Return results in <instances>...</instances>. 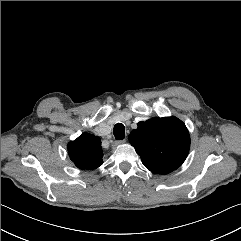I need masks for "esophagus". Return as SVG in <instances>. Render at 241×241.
I'll use <instances>...</instances> for the list:
<instances>
[{"instance_id": "obj_1", "label": "esophagus", "mask_w": 241, "mask_h": 241, "mask_svg": "<svg viewBox=\"0 0 241 241\" xmlns=\"http://www.w3.org/2000/svg\"><path fill=\"white\" fill-rule=\"evenodd\" d=\"M126 140L125 139H122V140H117L113 143V146H117L118 144H122V143H125Z\"/></svg>"}]
</instances>
